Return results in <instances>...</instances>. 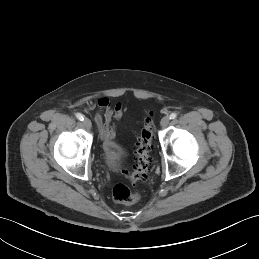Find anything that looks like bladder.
I'll return each instance as SVG.
<instances>
[{
	"label": "bladder",
	"instance_id": "1",
	"mask_svg": "<svg viewBox=\"0 0 259 259\" xmlns=\"http://www.w3.org/2000/svg\"><path fill=\"white\" fill-rule=\"evenodd\" d=\"M103 159L111 171H118L123 159V148L122 146L115 142H105L103 145Z\"/></svg>",
	"mask_w": 259,
	"mask_h": 259
}]
</instances>
